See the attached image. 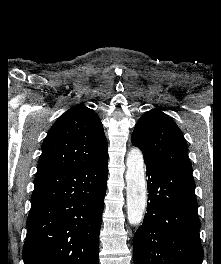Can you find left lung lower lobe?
<instances>
[{
    "mask_svg": "<svg viewBox=\"0 0 221 264\" xmlns=\"http://www.w3.org/2000/svg\"><path fill=\"white\" fill-rule=\"evenodd\" d=\"M145 164L149 202L134 236V264H202L192 174L153 162Z\"/></svg>",
    "mask_w": 221,
    "mask_h": 264,
    "instance_id": "obj_1",
    "label": "left lung lower lobe"
}]
</instances>
